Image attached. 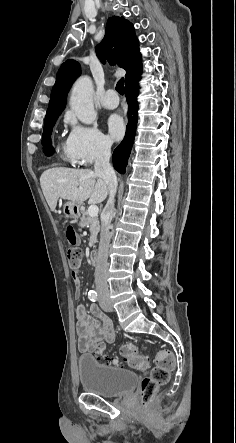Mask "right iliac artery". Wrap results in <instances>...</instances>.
Wrapping results in <instances>:
<instances>
[{
    "mask_svg": "<svg viewBox=\"0 0 236 443\" xmlns=\"http://www.w3.org/2000/svg\"><path fill=\"white\" fill-rule=\"evenodd\" d=\"M88 296H89V299L93 302H95L98 299V294L95 290H90L88 292Z\"/></svg>",
    "mask_w": 236,
    "mask_h": 443,
    "instance_id": "right-iliac-artery-1",
    "label": "right iliac artery"
}]
</instances>
